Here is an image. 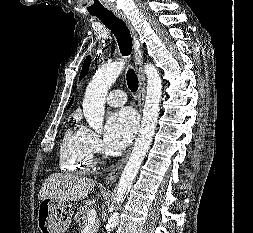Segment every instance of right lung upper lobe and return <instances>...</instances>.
Here are the masks:
<instances>
[{
  "instance_id": "1",
  "label": "right lung upper lobe",
  "mask_w": 253,
  "mask_h": 233,
  "mask_svg": "<svg viewBox=\"0 0 253 233\" xmlns=\"http://www.w3.org/2000/svg\"><path fill=\"white\" fill-rule=\"evenodd\" d=\"M72 101H73V99L71 100V102H70V104H69V106H68V107H70V106H71V104H72Z\"/></svg>"
}]
</instances>
